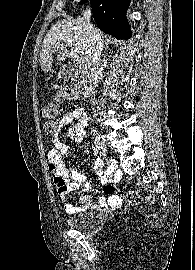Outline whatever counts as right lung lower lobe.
Masks as SVG:
<instances>
[{
  "mask_svg": "<svg viewBox=\"0 0 195 270\" xmlns=\"http://www.w3.org/2000/svg\"><path fill=\"white\" fill-rule=\"evenodd\" d=\"M88 0H81L82 4ZM94 20L103 32L117 39H129L132 36L126 19L130 0H90Z\"/></svg>",
  "mask_w": 195,
  "mask_h": 270,
  "instance_id": "1",
  "label": "right lung lower lobe"
}]
</instances>
